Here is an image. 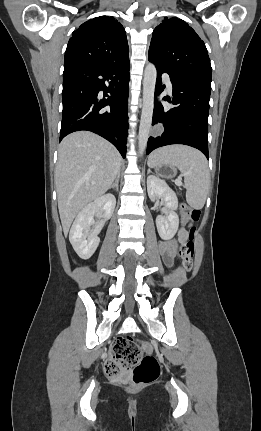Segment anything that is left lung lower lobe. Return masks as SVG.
I'll return each mask as SVG.
<instances>
[{
  "instance_id": "1",
  "label": "left lung lower lobe",
  "mask_w": 261,
  "mask_h": 431,
  "mask_svg": "<svg viewBox=\"0 0 261 431\" xmlns=\"http://www.w3.org/2000/svg\"><path fill=\"white\" fill-rule=\"evenodd\" d=\"M154 63L157 68L155 96L164 89L161 74L168 73L173 86V99L164 97L173 105L165 109L155 101L152 125L161 124L162 131L158 136L148 139L147 154L158 147L171 144H184L199 149L209 159L208 154V113L211 83L199 78L176 74L165 67Z\"/></svg>"
}]
</instances>
